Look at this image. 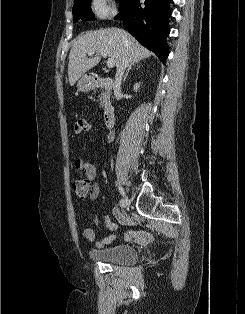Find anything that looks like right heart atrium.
<instances>
[{
	"mask_svg": "<svg viewBox=\"0 0 245 314\" xmlns=\"http://www.w3.org/2000/svg\"><path fill=\"white\" fill-rule=\"evenodd\" d=\"M91 9L99 18H108L115 13V5L112 0H92Z\"/></svg>",
	"mask_w": 245,
	"mask_h": 314,
	"instance_id": "right-heart-atrium-1",
	"label": "right heart atrium"
}]
</instances>
